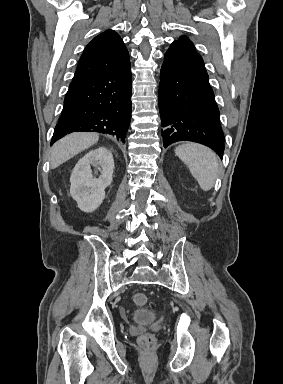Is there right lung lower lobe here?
<instances>
[{
  "mask_svg": "<svg viewBox=\"0 0 283 384\" xmlns=\"http://www.w3.org/2000/svg\"><path fill=\"white\" fill-rule=\"evenodd\" d=\"M131 91L130 63L72 81L51 144L78 131L108 133L123 140L131 120Z\"/></svg>",
  "mask_w": 283,
  "mask_h": 384,
  "instance_id": "1",
  "label": "right lung lower lobe"
}]
</instances>
